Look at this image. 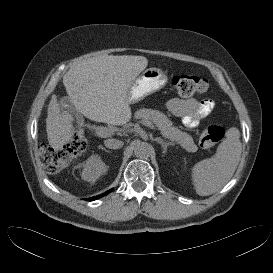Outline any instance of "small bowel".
Returning <instances> with one entry per match:
<instances>
[{
  "instance_id": "1",
  "label": "small bowel",
  "mask_w": 273,
  "mask_h": 273,
  "mask_svg": "<svg viewBox=\"0 0 273 273\" xmlns=\"http://www.w3.org/2000/svg\"><path fill=\"white\" fill-rule=\"evenodd\" d=\"M214 106L215 104L211 99L182 100L172 98L166 102L167 110L180 117L183 124L188 128H196L202 119L211 114Z\"/></svg>"
}]
</instances>
